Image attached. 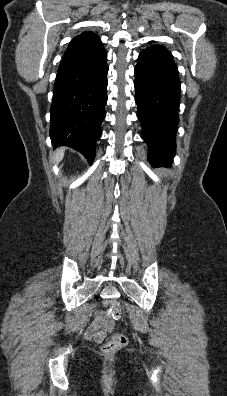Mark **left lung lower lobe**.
Returning a JSON list of instances; mask_svg holds the SVG:
<instances>
[{
  "label": "left lung lower lobe",
  "instance_id": "1",
  "mask_svg": "<svg viewBox=\"0 0 227 396\" xmlns=\"http://www.w3.org/2000/svg\"><path fill=\"white\" fill-rule=\"evenodd\" d=\"M135 76L137 116L149 147V160L170 164L180 104V80L172 54L160 45L147 47L138 57Z\"/></svg>",
  "mask_w": 227,
  "mask_h": 396
}]
</instances>
